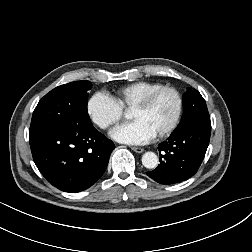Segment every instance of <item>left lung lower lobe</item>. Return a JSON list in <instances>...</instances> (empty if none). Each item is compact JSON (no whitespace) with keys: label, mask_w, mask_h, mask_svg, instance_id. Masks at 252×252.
Here are the masks:
<instances>
[{"label":"left lung lower lobe","mask_w":252,"mask_h":252,"mask_svg":"<svg viewBox=\"0 0 252 252\" xmlns=\"http://www.w3.org/2000/svg\"><path fill=\"white\" fill-rule=\"evenodd\" d=\"M211 134V125L197 124L173 132L158 146L160 164L147 175L160 184H175L193 176L200 167Z\"/></svg>","instance_id":"obj_1"}]
</instances>
